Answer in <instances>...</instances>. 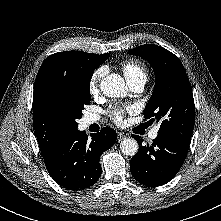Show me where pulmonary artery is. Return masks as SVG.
Returning a JSON list of instances; mask_svg holds the SVG:
<instances>
[{
	"label": "pulmonary artery",
	"mask_w": 221,
	"mask_h": 221,
	"mask_svg": "<svg viewBox=\"0 0 221 221\" xmlns=\"http://www.w3.org/2000/svg\"><path fill=\"white\" fill-rule=\"evenodd\" d=\"M144 82H132L129 84L130 88L132 91L134 92H141L144 88ZM98 120V116L96 115H87L85 117V125L88 126L94 122H96ZM158 125L155 126L148 134V137L150 140H154L156 139L157 135H158Z\"/></svg>",
	"instance_id": "pulmonary-artery-1"
}]
</instances>
